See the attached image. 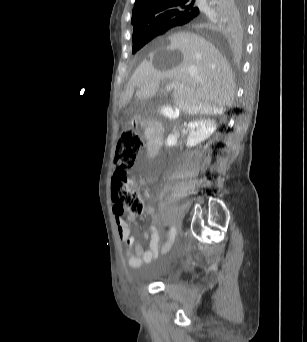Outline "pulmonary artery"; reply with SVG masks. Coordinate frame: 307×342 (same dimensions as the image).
Instances as JSON below:
<instances>
[{
  "label": "pulmonary artery",
  "instance_id": "e3ab8cb5",
  "mask_svg": "<svg viewBox=\"0 0 307 342\" xmlns=\"http://www.w3.org/2000/svg\"><path fill=\"white\" fill-rule=\"evenodd\" d=\"M201 2H204V1H201ZM203 9L206 10V7L203 5Z\"/></svg>",
  "mask_w": 307,
  "mask_h": 342
}]
</instances>
